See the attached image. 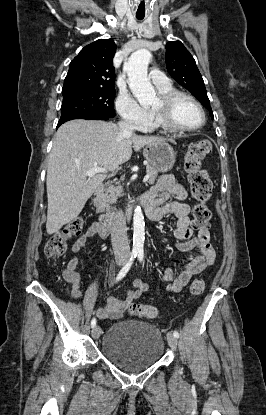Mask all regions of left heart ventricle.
Wrapping results in <instances>:
<instances>
[{
  "label": "left heart ventricle",
  "mask_w": 266,
  "mask_h": 415,
  "mask_svg": "<svg viewBox=\"0 0 266 415\" xmlns=\"http://www.w3.org/2000/svg\"><path fill=\"white\" fill-rule=\"evenodd\" d=\"M159 105V99L153 104V107ZM173 120L180 126L193 127L201 122V114L198 108L190 100L179 98L172 109Z\"/></svg>",
  "instance_id": "left-heart-ventricle-1"
}]
</instances>
